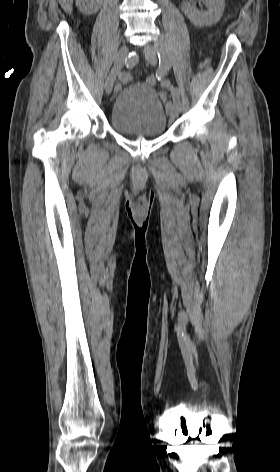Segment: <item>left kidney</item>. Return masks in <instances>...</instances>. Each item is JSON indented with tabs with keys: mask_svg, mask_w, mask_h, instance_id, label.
I'll return each mask as SVG.
<instances>
[{
	"mask_svg": "<svg viewBox=\"0 0 280 472\" xmlns=\"http://www.w3.org/2000/svg\"><path fill=\"white\" fill-rule=\"evenodd\" d=\"M206 12H198L189 2H183L182 9L189 20L197 27L210 26L219 21L223 14L224 0H206Z\"/></svg>",
	"mask_w": 280,
	"mask_h": 472,
	"instance_id": "obj_1",
	"label": "left kidney"
}]
</instances>
